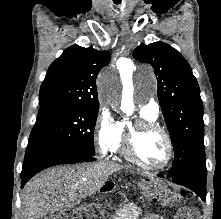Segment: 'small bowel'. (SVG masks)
Listing matches in <instances>:
<instances>
[{"label":"small bowel","instance_id":"obj_1","mask_svg":"<svg viewBox=\"0 0 221 219\" xmlns=\"http://www.w3.org/2000/svg\"><path fill=\"white\" fill-rule=\"evenodd\" d=\"M142 219H162L161 217L157 216V215H154V214H149V215H146L144 218Z\"/></svg>","mask_w":221,"mask_h":219}]
</instances>
